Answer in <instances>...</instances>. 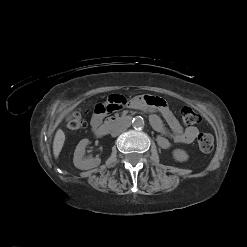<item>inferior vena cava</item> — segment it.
Wrapping results in <instances>:
<instances>
[{"mask_svg": "<svg viewBox=\"0 0 247 247\" xmlns=\"http://www.w3.org/2000/svg\"><path fill=\"white\" fill-rule=\"evenodd\" d=\"M126 126H117V127H114L111 131V136L113 137H116L118 136L119 134H121L122 132H124L126 130Z\"/></svg>", "mask_w": 247, "mask_h": 247, "instance_id": "obj_1", "label": "inferior vena cava"}]
</instances>
